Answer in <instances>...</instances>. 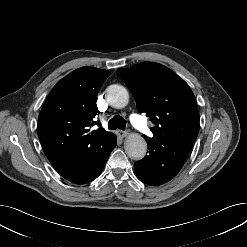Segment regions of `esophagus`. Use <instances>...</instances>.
Segmentation results:
<instances>
[{
  "label": "esophagus",
  "instance_id": "esophagus-1",
  "mask_svg": "<svg viewBox=\"0 0 247 247\" xmlns=\"http://www.w3.org/2000/svg\"><path fill=\"white\" fill-rule=\"evenodd\" d=\"M116 134L120 137V138H124L127 136L128 132L127 131H123V130H117Z\"/></svg>",
  "mask_w": 247,
  "mask_h": 247
}]
</instances>
